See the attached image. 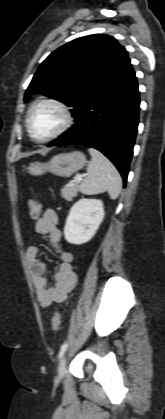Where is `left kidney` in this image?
<instances>
[{
  "mask_svg": "<svg viewBox=\"0 0 165 419\" xmlns=\"http://www.w3.org/2000/svg\"><path fill=\"white\" fill-rule=\"evenodd\" d=\"M103 202L98 199L82 198L71 208L64 227L67 242L83 244L96 233L104 219Z\"/></svg>",
  "mask_w": 165,
  "mask_h": 419,
  "instance_id": "5707ae66",
  "label": "left kidney"
}]
</instances>
